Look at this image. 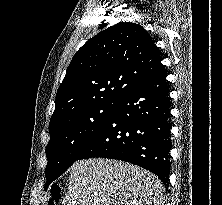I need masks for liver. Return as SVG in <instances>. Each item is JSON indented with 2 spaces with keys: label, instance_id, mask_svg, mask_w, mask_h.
<instances>
[{
  "label": "liver",
  "instance_id": "obj_1",
  "mask_svg": "<svg viewBox=\"0 0 222 205\" xmlns=\"http://www.w3.org/2000/svg\"><path fill=\"white\" fill-rule=\"evenodd\" d=\"M157 176L117 160L92 158L71 166L62 205H164Z\"/></svg>",
  "mask_w": 222,
  "mask_h": 205
}]
</instances>
